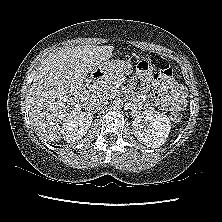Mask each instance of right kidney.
<instances>
[{"label":"right kidney","instance_id":"right-kidney-1","mask_svg":"<svg viewBox=\"0 0 222 222\" xmlns=\"http://www.w3.org/2000/svg\"><path fill=\"white\" fill-rule=\"evenodd\" d=\"M93 120L91 113L81 112L71 117L65 124L62 132L68 143L81 139L88 131Z\"/></svg>","mask_w":222,"mask_h":222}]
</instances>
